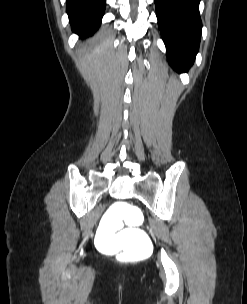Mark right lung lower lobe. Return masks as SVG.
I'll return each instance as SVG.
<instances>
[{
    "label": "right lung lower lobe",
    "instance_id": "1",
    "mask_svg": "<svg viewBox=\"0 0 247 304\" xmlns=\"http://www.w3.org/2000/svg\"><path fill=\"white\" fill-rule=\"evenodd\" d=\"M106 0H66V11L73 32L90 36L101 24Z\"/></svg>",
    "mask_w": 247,
    "mask_h": 304
}]
</instances>
